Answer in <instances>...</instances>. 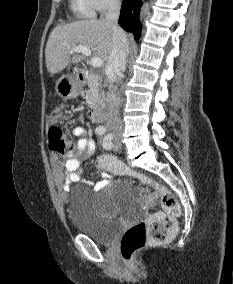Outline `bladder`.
Returning a JSON list of instances; mask_svg holds the SVG:
<instances>
[{"label": "bladder", "instance_id": "1", "mask_svg": "<svg viewBox=\"0 0 233 284\" xmlns=\"http://www.w3.org/2000/svg\"><path fill=\"white\" fill-rule=\"evenodd\" d=\"M137 189L127 181H116L102 195L100 204L91 193L76 187L70 191L67 215L71 225L80 233L100 244L111 243L121 229V221L104 215L100 207L107 204L131 206L136 202Z\"/></svg>", "mask_w": 233, "mask_h": 284}]
</instances>
